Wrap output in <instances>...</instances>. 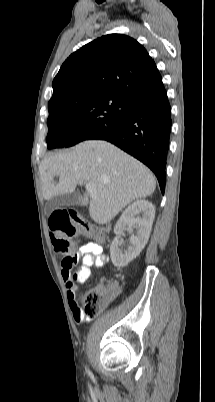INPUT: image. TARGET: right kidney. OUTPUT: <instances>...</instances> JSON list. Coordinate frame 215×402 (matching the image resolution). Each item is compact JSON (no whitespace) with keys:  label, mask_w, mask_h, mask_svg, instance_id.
Here are the masks:
<instances>
[{"label":"right kidney","mask_w":215,"mask_h":402,"mask_svg":"<svg viewBox=\"0 0 215 402\" xmlns=\"http://www.w3.org/2000/svg\"><path fill=\"white\" fill-rule=\"evenodd\" d=\"M154 217L155 206L143 199L136 200L124 210L114 228L116 237L110 246L111 260L116 267L127 266L141 253L149 240ZM126 227L136 229V235L130 236V244L123 250L120 239Z\"/></svg>","instance_id":"obj_1"}]
</instances>
